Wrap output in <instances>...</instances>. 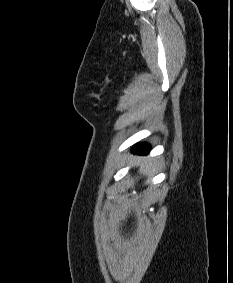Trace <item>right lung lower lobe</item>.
I'll return each instance as SVG.
<instances>
[{
  "label": "right lung lower lobe",
  "instance_id": "right-lung-lower-lobe-1",
  "mask_svg": "<svg viewBox=\"0 0 233 283\" xmlns=\"http://www.w3.org/2000/svg\"><path fill=\"white\" fill-rule=\"evenodd\" d=\"M133 149L136 150L138 154H147L150 151V147L146 145H136Z\"/></svg>",
  "mask_w": 233,
  "mask_h": 283
}]
</instances>
